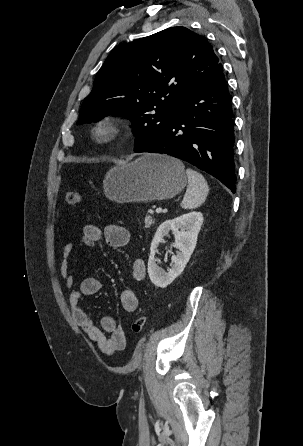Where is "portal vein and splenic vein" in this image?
<instances>
[{"instance_id": "1", "label": "portal vein and splenic vein", "mask_w": 303, "mask_h": 446, "mask_svg": "<svg viewBox=\"0 0 303 446\" xmlns=\"http://www.w3.org/2000/svg\"><path fill=\"white\" fill-rule=\"evenodd\" d=\"M161 212H162V208H161V207H159V208L156 209V213H157V214H159V213H161Z\"/></svg>"}]
</instances>
